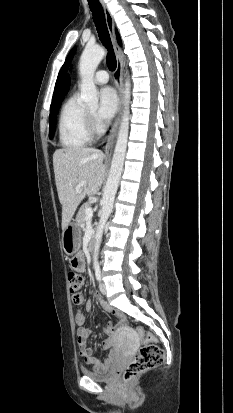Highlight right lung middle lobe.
Segmentation results:
<instances>
[{
    "label": "right lung middle lobe",
    "instance_id": "1",
    "mask_svg": "<svg viewBox=\"0 0 233 413\" xmlns=\"http://www.w3.org/2000/svg\"><path fill=\"white\" fill-rule=\"evenodd\" d=\"M61 105V102L55 106H51L50 110V120H49V125H50V130H49V138L52 139L56 127V114L58 112V109Z\"/></svg>",
    "mask_w": 233,
    "mask_h": 413
}]
</instances>
